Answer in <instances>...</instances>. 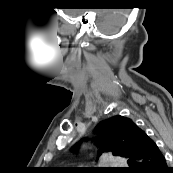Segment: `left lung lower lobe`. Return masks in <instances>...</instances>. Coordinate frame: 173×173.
<instances>
[{
	"instance_id": "left-lung-lower-lobe-1",
	"label": "left lung lower lobe",
	"mask_w": 173,
	"mask_h": 173,
	"mask_svg": "<svg viewBox=\"0 0 173 173\" xmlns=\"http://www.w3.org/2000/svg\"><path fill=\"white\" fill-rule=\"evenodd\" d=\"M140 145L128 160L127 173H168L166 160L157 144L144 132Z\"/></svg>"
}]
</instances>
